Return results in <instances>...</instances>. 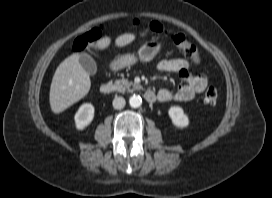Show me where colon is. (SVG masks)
<instances>
[{
	"label": "colon",
	"mask_w": 272,
	"mask_h": 198,
	"mask_svg": "<svg viewBox=\"0 0 272 198\" xmlns=\"http://www.w3.org/2000/svg\"><path fill=\"white\" fill-rule=\"evenodd\" d=\"M135 24L137 22H134ZM146 29L155 34H166L163 26L157 22L150 23ZM101 36V30L98 27L91 28L89 31L78 37L74 43V49L78 53L85 52L94 43L98 41ZM170 39L174 46L188 59L198 64L200 61L199 51L191 41H189L185 35L180 33H174L170 35ZM217 91L214 87H208L203 94V102L206 105L213 106L217 101Z\"/></svg>",
	"instance_id": "5ec220e1"
}]
</instances>
